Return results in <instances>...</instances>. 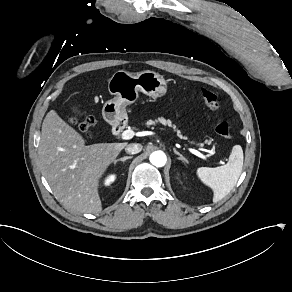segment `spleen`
Instances as JSON below:
<instances>
[{
	"mask_svg": "<svg viewBox=\"0 0 292 292\" xmlns=\"http://www.w3.org/2000/svg\"><path fill=\"white\" fill-rule=\"evenodd\" d=\"M243 150L238 144L232 147L229 161L222 167H198V180L213 192V202L224 198L236 185L243 168Z\"/></svg>",
	"mask_w": 292,
	"mask_h": 292,
	"instance_id": "1",
	"label": "spleen"
}]
</instances>
